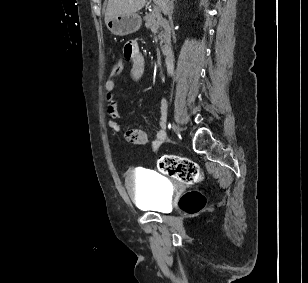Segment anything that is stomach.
<instances>
[{
  "label": "stomach",
  "mask_w": 308,
  "mask_h": 283,
  "mask_svg": "<svg viewBox=\"0 0 308 283\" xmlns=\"http://www.w3.org/2000/svg\"><path fill=\"white\" fill-rule=\"evenodd\" d=\"M141 17L136 14L118 15L106 25L109 31L117 36H125L138 31L141 27Z\"/></svg>",
  "instance_id": "stomach-1"
}]
</instances>
